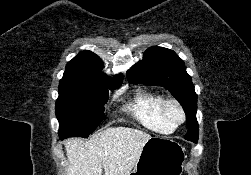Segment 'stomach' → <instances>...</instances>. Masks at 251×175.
Returning a JSON list of instances; mask_svg holds the SVG:
<instances>
[{
	"label": "stomach",
	"instance_id": "0dacf381",
	"mask_svg": "<svg viewBox=\"0 0 251 175\" xmlns=\"http://www.w3.org/2000/svg\"><path fill=\"white\" fill-rule=\"evenodd\" d=\"M185 159L181 143L165 135H151L129 175H182Z\"/></svg>",
	"mask_w": 251,
	"mask_h": 175
}]
</instances>
